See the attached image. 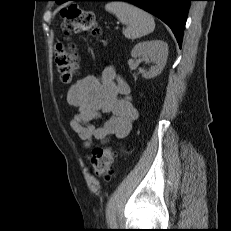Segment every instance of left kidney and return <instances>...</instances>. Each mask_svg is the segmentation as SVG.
<instances>
[{"label":"left kidney","instance_id":"left-kidney-1","mask_svg":"<svg viewBox=\"0 0 231 231\" xmlns=\"http://www.w3.org/2000/svg\"><path fill=\"white\" fill-rule=\"evenodd\" d=\"M133 58H149L156 65L143 73V77L151 79L159 75L166 65L168 57V44L161 40L144 41L136 44L131 51Z\"/></svg>","mask_w":231,"mask_h":231}]
</instances>
